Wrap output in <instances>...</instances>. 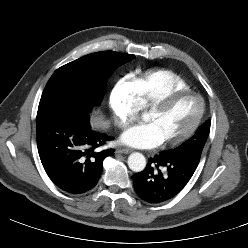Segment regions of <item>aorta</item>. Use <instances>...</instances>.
<instances>
[{"label":"aorta","instance_id":"obj_1","mask_svg":"<svg viewBox=\"0 0 248 248\" xmlns=\"http://www.w3.org/2000/svg\"><path fill=\"white\" fill-rule=\"evenodd\" d=\"M128 166L134 172H141L146 167V158L139 152H134L128 157Z\"/></svg>","mask_w":248,"mask_h":248}]
</instances>
